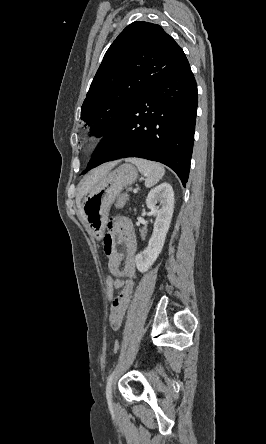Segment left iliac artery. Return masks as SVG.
Instances as JSON below:
<instances>
[{
  "mask_svg": "<svg viewBox=\"0 0 266 444\" xmlns=\"http://www.w3.org/2000/svg\"><path fill=\"white\" fill-rule=\"evenodd\" d=\"M115 373H116V368L109 376V378L107 380V384H106V397L109 402H111V400H112V386H113V378L115 376Z\"/></svg>",
  "mask_w": 266,
  "mask_h": 444,
  "instance_id": "obj_1",
  "label": "left iliac artery"
}]
</instances>
